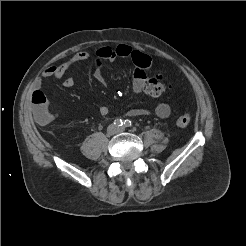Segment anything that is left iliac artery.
<instances>
[{"mask_svg": "<svg viewBox=\"0 0 246 246\" xmlns=\"http://www.w3.org/2000/svg\"><path fill=\"white\" fill-rule=\"evenodd\" d=\"M124 126H125V127H131V126H132V122H131L130 120L126 119V120L124 121Z\"/></svg>", "mask_w": 246, "mask_h": 246, "instance_id": "1", "label": "left iliac artery"}]
</instances>
